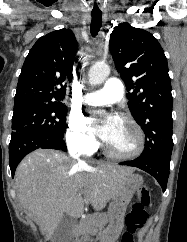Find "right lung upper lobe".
I'll return each mask as SVG.
<instances>
[{
	"label": "right lung upper lobe",
	"instance_id": "cb5924a9",
	"mask_svg": "<svg viewBox=\"0 0 187 242\" xmlns=\"http://www.w3.org/2000/svg\"><path fill=\"white\" fill-rule=\"evenodd\" d=\"M77 42L72 31L60 29L37 40L19 76L14 106L61 103L71 82Z\"/></svg>",
	"mask_w": 187,
	"mask_h": 242
}]
</instances>
